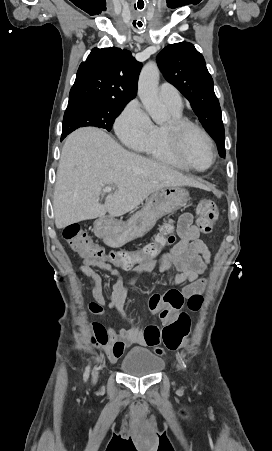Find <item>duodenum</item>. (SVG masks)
<instances>
[{"mask_svg":"<svg viewBox=\"0 0 272 451\" xmlns=\"http://www.w3.org/2000/svg\"><path fill=\"white\" fill-rule=\"evenodd\" d=\"M96 231L99 235L104 236L106 233V226L103 222L99 221L96 223Z\"/></svg>","mask_w":272,"mask_h":451,"instance_id":"410a0bca","label":"duodenum"}]
</instances>
